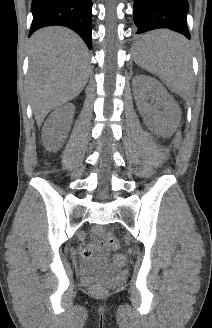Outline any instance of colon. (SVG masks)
Here are the masks:
<instances>
[{
  "mask_svg": "<svg viewBox=\"0 0 212 328\" xmlns=\"http://www.w3.org/2000/svg\"><path fill=\"white\" fill-rule=\"evenodd\" d=\"M99 233L104 238L106 244L110 248H112V249H118L119 248V241L113 234H111L109 232H106V231H100ZM114 260H115V263L117 265H120V266H122L126 263V258L122 254H117L115 256ZM92 288H93V291L96 292V293H101L105 289L104 285L102 283H99V282L93 284Z\"/></svg>",
  "mask_w": 212,
  "mask_h": 328,
  "instance_id": "obj_1",
  "label": "colon"
}]
</instances>
